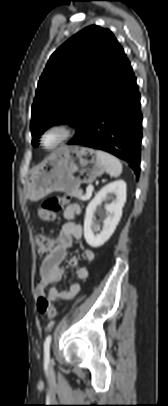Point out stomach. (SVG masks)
Listing matches in <instances>:
<instances>
[{"mask_svg": "<svg viewBox=\"0 0 168 406\" xmlns=\"http://www.w3.org/2000/svg\"><path fill=\"white\" fill-rule=\"evenodd\" d=\"M104 170L94 149L60 147L31 175L26 185V197L38 201L54 191L71 192L81 183H92Z\"/></svg>", "mask_w": 168, "mask_h": 406, "instance_id": "0dacf381", "label": "stomach"}]
</instances>
